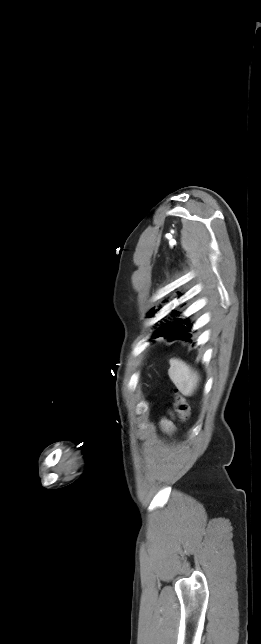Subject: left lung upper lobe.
I'll return each mask as SVG.
<instances>
[{"instance_id": "left-lung-upper-lobe-1", "label": "left lung upper lobe", "mask_w": 261, "mask_h": 644, "mask_svg": "<svg viewBox=\"0 0 261 644\" xmlns=\"http://www.w3.org/2000/svg\"><path fill=\"white\" fill-rule=\"evenodd\" d=\"M154 313H155V311H151V312H149V313H148V317H151ZM175 314H176V311H173V315H175ZM165 321H166V320H165ZM186 322H187V319H184V320L176 319V320L174 321V323H171V324H169V325L162 324V327H161V328H159V329L157 330V332H156V334L153 336V338H155V337H159V336H166V335H168L169 333H171L172 331H175V330H177V329H179V328H182V327H184L185 325H187V323H186Z\"/></svg>"}]
</instances>
